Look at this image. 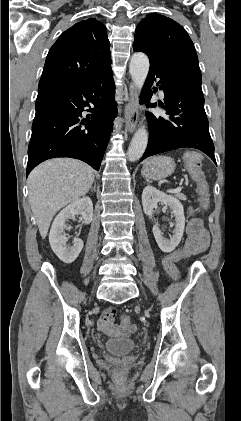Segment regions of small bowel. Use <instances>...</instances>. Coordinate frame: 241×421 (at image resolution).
Instances as JSON below:
<instances>
[{
	"instance_id": "c3829d8e",
	"label": "small bowel",
	"mask_w": 241,
	"mask_h": 421,
	"mask_svg": "<svg viewBox=\"0 0 241 421\" xmlns=\"http://www.w3.org/2000/svg\"><path fill=\"white\" fill-rule=\"evenodd\" d=\"M190 220L188 221L186 233L187 240L184 246V255L191 256L204 252L209 244V235L201 220L195 216L193 209L188 211ZM116 311L114 308L106 309L98 320V329L101 333L111 337H126L133 333L135 325L114 323Z\"/></svg>"
}]
</instances>
